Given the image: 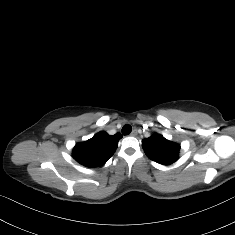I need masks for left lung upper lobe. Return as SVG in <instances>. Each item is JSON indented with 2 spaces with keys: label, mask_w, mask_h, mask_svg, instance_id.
<instances>
[{
  "label": "left lung upper lobe",
  "mask_w": 235,
  "mask_h": 235,
  "mask_svg": "<svg viewBox=\"0 0 235 235\" xmlns=\"http://www.w3.org/2000/svg\"><path fill=\"white\" fill-rule=\"evenodd\" d=\"M142 147L147 157L159 164L169 165L178 159L180 145L165 139L160 134L142 140Z\"/></svg>",
  "instance_id": "5c2ea615"
}]
</instances>
